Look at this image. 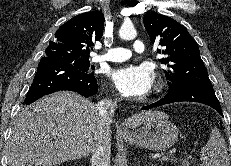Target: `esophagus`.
<instances>
[{
	"label": "esophagus",
	"mask_w": 231,
	"mask_h": 166,
	"mask_svg": "<svg viewBox=\"0 0 231 166\" xmlns=\"http://www.w3.org/2000/svg\"><path fill=\"white\" fill-rule=\"evenodd\" d=\"M119 132H120V133H125V134L127 133V131L124 130V129H120Z\"/></svg>",
	"instance_id": "34e87169"
}]
</instances>
